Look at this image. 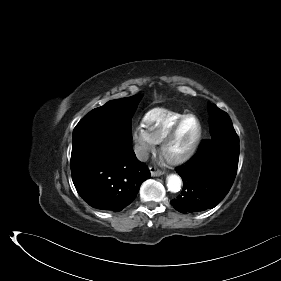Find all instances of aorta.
I'll return each instance as SVG.
<instances>
[{
	"instance_id": "aorta-1",
	"label": "aorta",
	"mask_w": 281,
	"mask_h": 281,
	"mask_svg": "<svg viewBox=\"0 0 281 281\" xmlns=\"http://www.w3.org/2000/svg\"><path fill=\"white\" fill-rule=\"evenodd\" d=\"M167 187L170 192L176 193L181 189V178L178 175L171 174L167 177Z\"/></svg>"
}]
</instances>
